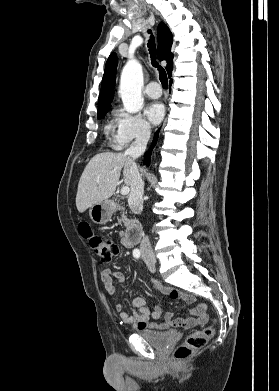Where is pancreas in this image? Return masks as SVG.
Instances as JSON below:
<instances>
[{"mask_svg": "<svg viewBox=\"0 0 279 391\" xmlns=\"http://www.w3.org/2000/svg\"><path fill=\"white\" fill-rule=\"evenodd\" d=\"M119 222H123L125 226H128L130 223L129 220L127 219L126 213L124 211L122 212V217H121V219H119Z\"/></svg>", "mask_w": 279, "mask_h": 391, "instance_id": "1", "label": "pancreas"}]
</instances>
